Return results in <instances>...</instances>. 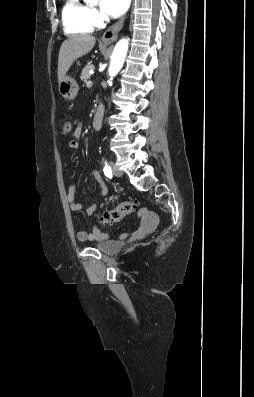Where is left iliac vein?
Segmentation results:
<instances>
[{"instance_id": "4c4485c4", "label": "left iliac vein", "mask_w": 254, "mask_h": 397, "mask_svg": "<svg viewBox=\"0 0 254 397\" xmlns=\"http://www.w3.org/2000/svg\"><path fill=\"white\" fill-rule=\"evenodd\" d=\"M111 167H112V172H113V175H114V176H116V177H121V176L123 175V172L120 171V170L118 169V167H117L114 163H111Z\"/></svg>"}]
</instances>
